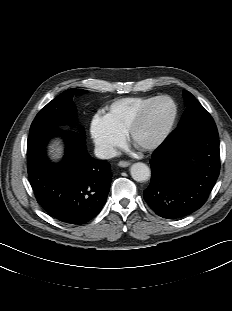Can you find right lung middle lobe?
Listing matches in <instances>:
<instances>
[{
    "mask_svg": "<svg viewBox=\"0 0 232 311\" xmlns=\"http://www.w3.org/2000/svg\"><path fill=\"white\" fill-rule=\"evenodd\" d=\"M84 90L71 88L51 102H49L35 117L29 134L37 131L54 128L65 123H71L76 118V108L72 101L75 94L83 93ZM84 134V131L81 130Z\"/></svg>",
    "mask_w": 232,
    "mask_h": 311,
    "instance_id": "1",
    "label": "right lung middle lobe"
}]
</instances>
